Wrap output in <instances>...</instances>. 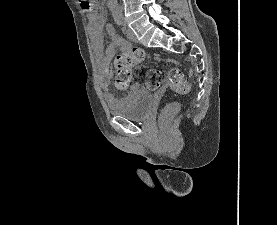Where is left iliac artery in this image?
Wrapping results in <instances>:
<instances>
[{
    "label": "left iliac artery",
    "instance_id": "left-iliac-artery-1",
    "mask_svg": "<svg viewBox=\"0 0 277 225\" xmlns=\"http://www.w3.org/2000/svg\"><path fill=\"white\" fill-rule=\"evenodd\" d=\"M119 22L121 23V25H125L124 20L122 18L119 19Z\"/></svg>",
    "mask_w": 277,
    "mask_h": 225
}]
</instances>
